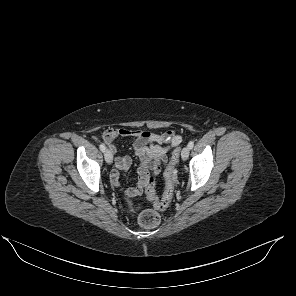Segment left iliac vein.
<instances>
[{
	"label": "left iliac vein",
	"mask_w": 296,
	"mask_h": 296,
	"mask_svg": "<svg viewBox=\"0 0 296 296\" xmlns=\"http://www.w3.org/2000/svg\"><path fill=\"white\" fill-rule=\"evenodd\" d=\"M190 149L189 147H184L182 152H181V157L183 160H186L189 157Z\"/></svg>",
	"instance_id": "obj_1"
}]
</instances>
